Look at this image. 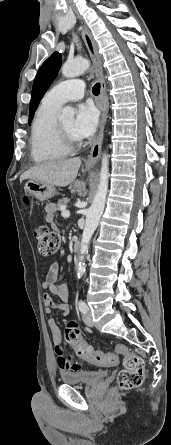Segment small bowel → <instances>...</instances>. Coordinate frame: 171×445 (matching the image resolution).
<instances>
[{
  "mask_svg": "<svg viewBox=\"0 0 171 445\" xmlns=\"http://www.w3.org/2000/svg\"><path fill=\"white\" fill-rule=\"evenodd\" d=\"M55 208L53 205H48L46 207V222L50 225L53 224V214ZM58 279V265L53 264L48 272L45 281L42 283L43 289L47 290L49 293H44L43 295V305L46 314H51L54 308L59 309L63 315H68L70 312V306L68 304L69 290L65 283H57ZM54 295L61 300V303L56 305L51 297ZM47 326L51 333V339L54 345V351L57 356V364L59 369L63 371H78L80 365L74 361L71 355H65L61 347V331L56 321L53 318L47 320Z\"/></svg>",
  "mask_w": 171,
  "mask_h": 445,
  "instance_id": "c3829d8e",
  "label": "small bowel"
}]
</instances>
